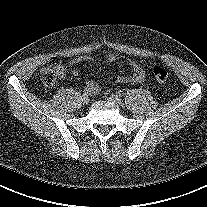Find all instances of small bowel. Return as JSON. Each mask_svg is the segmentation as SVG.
I'll use <instances>...</instances> for the list:
<instances>
[{"mask_svg":"<svg viewBox=\"0 0 207 207\" xmlns=\"http://www.w3.org/2000/svg\"><path fill=\"white\" fill-rule=\"evenodd\" d=\"M92 60H93V57H91L89 55H85V56L78 57V58L71 60L70 64L74 65V64L80 63L82 61L90 62ZM106 60L109 63H113L117 60V57L114 54L109 53L106 56ZM125 62L131 68L132 75L128 76V77L127 76H119L116 78V82L120 83V84H125V83H140V82L144 81V79L146 77V73H145V70L143 69V67L137 61H135L131 58H126ZM71 74L73 76H78L79 72H78V70L73 69L71 71ZM64 75H65V71L63 69V71L60 75V78H63ZM86 86H87V88L90 89L91 93L97 94L100 92V86L94 80H88L86 82Z\"/></svg>","mask_w":207,"mask_h":207,"instance_id":"c3829d8e","label":"small bowel"}]
</instances>
